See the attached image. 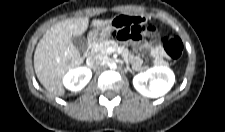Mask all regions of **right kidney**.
I'll use <instances>...</instances> for the list:
<instances>
[{"instance_id": "right-kidney-1", "label": "right kidney", "mask_w": 225, "mask_h": 132, "mask_svg": "<svg viewBox=\"0 0 225 132\" xmlns=\"http://www.w3.org/2000/svg\"><path fill=\"white\" fill-rule=\"evenodd\" d=\"M92 77V72L87 67H78L68 72L63 78L64 86L73 92L83 89Z\"/></svg>"}]
</instances>
